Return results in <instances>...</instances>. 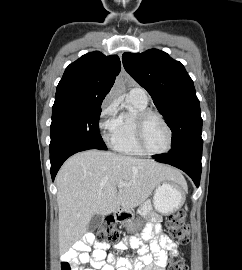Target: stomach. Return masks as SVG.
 <instances>
[{
    "mask_svg": "<svg viewBox=\"0 0 242 270\" xmlns=\"http://www.w3.org/2000/svg\"><path fill=\"white\" fill-rule=\"evenodd\" d=\"M187 186L174 181H164L160 183L153 196V205L159 213L171 214L181 208L185 201ZM125 213L121 211L119 214ZM123 216V215H122ZM125 222L132 227L131 219Z\"/></svg>",
    "mask_w": 242,
    "mask_h": 270,
    "instance_id": "stomach-1",
    "label": "stomach"
}]
</instances>
